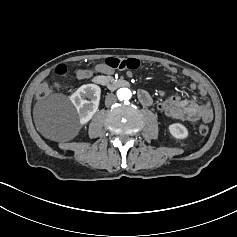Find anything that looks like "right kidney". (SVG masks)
<instances>
[{
  "mask_svg": "<svg viewBox=\"0 0 237 237\" xmlns=\"http://www.w3.org/2000/svg\"><path fill=\"white\" fill-rule=\"evenodd\" d=\"M101 89L95 84H85L70 96L77 109L80 124L87 123L98 110ZM88 98L89 100H86Z\"/></svg>",
  "mask_w": 237,
  "mask_h": 237,
  "instance_id": "ca27d5eb",
  "label": "right kidney"
}]
</instances>
